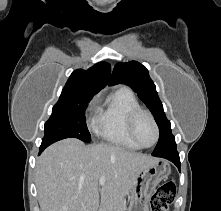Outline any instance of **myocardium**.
Segmentation results:
<instances>
[{"label":"myocardium","mask_w":221,"mask_h":211,"mask_svg":"<svg viewBox=\"0 0 221 211\" xmlns=\"http://www.w3.org/2000/svg\"><path fill=\"white\" fill-rule=\"evenodd\" d=\"M142 115H146L149 117V119L151 120L153 126H154V129H155V140L154 142L151 144V145H144L140 142V140L138 139L137 137V133H136V126H137V122H138V119L142 116ZM127 129H128V133H129V136L130 138L140 147V148H151L153 147L154 145L157 144L158 140H159V137H160V130H159V126H158V123L155 119V117L153 116V114L147 110V109H144V108H136L134 110H132L129 115H128V118H127Z\"/></svg>","instance_id":"obj_1"}]
</instances>
